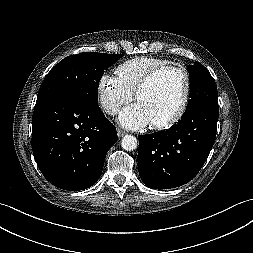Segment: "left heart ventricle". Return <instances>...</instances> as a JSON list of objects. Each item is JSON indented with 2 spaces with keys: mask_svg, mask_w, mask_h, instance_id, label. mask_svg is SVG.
Masks as SVG:
<instances>
[{
  "mask_svg": "<svg viewBox=\"0 0 253 253\" xmlns=\"http://www.w3.org/2000/svg\"><path fill=\"white\" fill-rule=\"evenodd\" d=\"M183 93V81L176 71L161 74L137 98L148 113L151 122L170 118L179 109Z\"/></svg>",
  "mask_w": 253,
  "mask_h": 253,
  "instance_id": "1",
  "label": "left heart ventricle"
}]
</instances>
